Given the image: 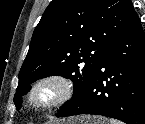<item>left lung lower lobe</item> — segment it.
Instances as JSON below:
<instances>
[{
    "instance_id": "left-lung-lower-lobe-1",
    "label": "left lung lower lobe",
    "mask_w": 145,
    "mask_h": 124,
    "mask_svg": "<svg viewBox=\"0 0 145 124\" xmlns=\"http://www.w3.org/2000/svg\"><path fill=\"white\" fill-rule=\"evenodd\" d=\"M79 114L145 124V33L135 11L82 94L56 116Z\"/></svg>"
}]
</instances>
